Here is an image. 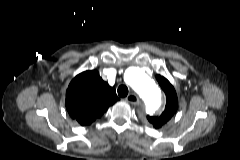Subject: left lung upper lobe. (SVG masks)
Here are the masks:
<instances>
[{
    "label": "left lung upper lobe",
    "instance_id": "left-lung-upper-lobe-1",
    "mask_svg": "<svg viewBox=\"0 0 240 160\" xmlns=\"http://www.w3.org/2000/svg\"><path fill=\"white\" fill-rule=\"evenodd\" d=\"M159 85L166 95V106L164 112L157 116H147V120L157 129L166 124L178 109L177 94L172 84L163 76H156Z\"/></svg>",
    "mask_w": 240,
    "mask_h": 160
}]
</instances>
